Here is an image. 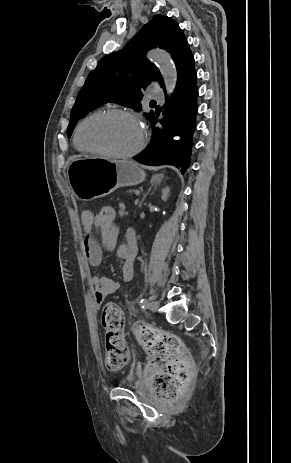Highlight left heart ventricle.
I'll return each mask as SVG.
<instances>
[{
    "label": "left heart ventricle",
    "instance_id": "1",
    "mask_svg": "<svg viewBox=\"0 0 291 463\" xmlns=\"http://www.w3.org/2000/svg\"><path fill=\"white\" fill-rule=\"evenodd\" d=\"M81 139L94 148L127 152L138 144L140 129L130 118L122 115L100 116L84 125Z\"/></svg>",
    "mask_w": 291,
    "mask_h": 463
}]
</instances>
